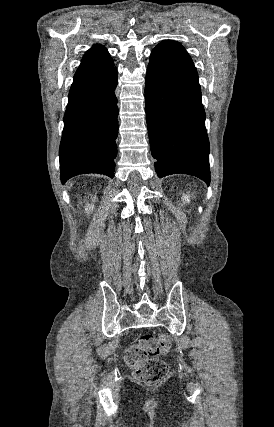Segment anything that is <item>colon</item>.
Here are the masks:
<instances>
[{
    "instance_id": "colon-1",
    "label": "colon",
    "mask_w": 274,
    "mask_h": 427,
    "mask_svg": "<svg viewBox=\"0 0 274 427\" xmlns=\"http://www.w3.org/2000/svg\"><path fill=\"white\" fill-rule=\"evenodd\" d=\"M170 349L166 336L143 334L139 340L127 347L125 362L133 370V378L141 384L158 383L165 380L170 373L169 366L159 355Z\"/></svg>"
}]
</instances>
